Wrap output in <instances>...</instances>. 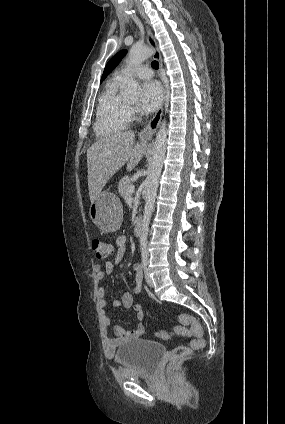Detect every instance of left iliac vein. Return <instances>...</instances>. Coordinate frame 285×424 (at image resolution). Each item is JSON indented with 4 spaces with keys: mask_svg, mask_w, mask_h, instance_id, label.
Returning a JSON list of instances; mask_svg holds the SVG:
<instances>
[{
    "mask_svg": "<svg viewBox=\"0 0 285 424\" xmlns=\"http://www.w3.org/2000/svg\"><path fill=\"white\" fill-rule=\"evenodd\" d=\"M145 280H146V283H147L150 287H153V280H152V278L150 277L149 272H148V270H147V268H146V267H145Z\"/></svg>",
    "mask_w": 285,
    "mask_h": 424,
    "instance_id": "left-iliac-vein-1",
    "label": "left iliac vein"
}]
</instances>
